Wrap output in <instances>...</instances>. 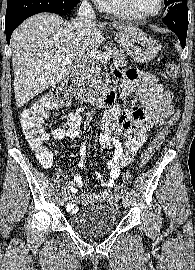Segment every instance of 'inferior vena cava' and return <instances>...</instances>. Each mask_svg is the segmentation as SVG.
I'll use <instances>...</instances> for the list:
<instances>
[{
	"label": "inferior vena cava",
	"mask_w": 195,
	"mask_h": 270,
	"mask_svg": "<svg viewBox=\"0 0 195 270\" xmlns=\"http://www.w3.org/2000/svg\"><path fill=\"white\" fill-rule=\"evenodd\" d=\"M77 19L86 25H90L96 20L95 12L87 0L82 1L77 13Z\"/></svg>",
	"instance_id": "inferior-vena-cava-1"
}]
</instances>
